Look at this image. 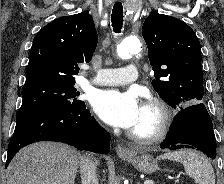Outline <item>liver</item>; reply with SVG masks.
I'll return each mask as SVG.
<instances>
[{
	"label": "liver",
	"mask_w": 224,
	"mask_h": 184,
	"mask_svg": "<svg viewBox=\"0 0 224 184\" xmlns=\"http://www.w3.org/2000/svg\"><path fill=\"white\" fill-rule=\"evenodd\" d=\"M80 159V152L68 145L34 143L21 149L11 161L7 184H75Z\"/></svg>",
	"instance_id": "6515ba94"
}]
</instances>
